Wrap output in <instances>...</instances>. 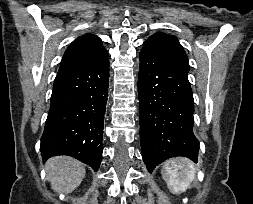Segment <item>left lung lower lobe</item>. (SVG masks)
<instances>
[{
	"instance_id": "0a47b994",
	"label": "left lung lower lobe",
	"mask_w": 253,
	"mask_h": 204,
	"mask_svg": "<svg viewBox=\"0 0 253 204\" xmlns=\"http://www.w3.org/2000/svg\"><path fill=\"white\" fill-rule=\"evenodd\" d=\"M140 142L149 172L173 156L197 162L199 142L193 133L194 100L188 70L154 49L139 54Z\"/></svg>"
}]
</instances>
